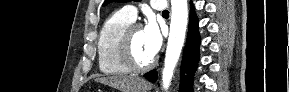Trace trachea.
Returning a JSON list of instances; mask_svg holds the SVG:
<instances>
[{"instance_id": "3493384b", "label": "trachea", "mask_w": 289, "mask_h": 92, "mask_svg": "<svg viewBox=\"0 0 289 92\" xmlns=\"http://www.w3.org/2000/svg\"><path fill=\"white\" fill-rule=\"evenodd\" d=\"M162 14L168 15V14H169V11H168V10H164Z\"/></svg>"}]
</instances>
